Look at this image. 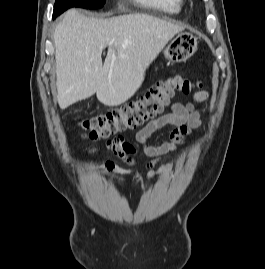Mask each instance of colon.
<instances>
[{
	"label": "colon",
	"instance_id": "5ec220e1",
	"mask_svg": "<svg viewBox=\"0 0 265 269\" xmlns=\"http://www.w3.org/2000/svg\"><path fill=\"white\" fill-rule=\"evenodd\" d=\"M198 86V83L180 74L171 75L153 85L141 99L109 113L81 121L84 136L96 141L137 128L160 114L177 93L189 94Z\"/></svg>",
	"mask_w": 265,
	"mask_h": 269
}]
</instances>
